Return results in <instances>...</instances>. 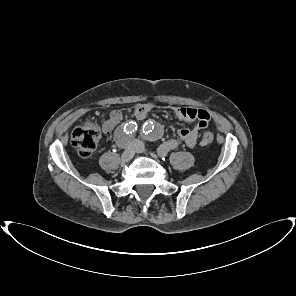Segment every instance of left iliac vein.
I'll use <instances>...</instances> for the list:
<instances>
[{
    "mask_svg": "<svg viewBox=\"0 0 296 296\" xmlns=\"http://www.w3.org/2000/svg\"><path fill=\"white\" fill-rule=\"evenodd\" d=\"M133 145H134V149L137 153H142L145 149L143 143L138 140H135L133 142Z\"/></svg>",
    "mask_w": 296,
    "mask_h": 296,
    "instance_id": "4c4485c4",
    "label": "left iliac vein"
}]
</instances>
